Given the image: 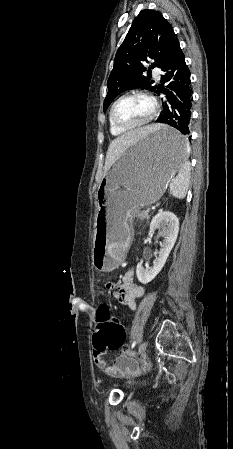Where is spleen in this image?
<instances>
[{"instance_id": "obj_1", "label": "spleen", "mask_w": 233, "mask_h": 449, "mask_svg": "<svg viewBox=\"0 0 233 449\" xmlns=\"http://www.w3.org/2000/svg\"><path fill=\"white\" fill-rule=\"evenodd\" d=\"M190 170V164L185 161L180 166L177 176L170 183V193L177 199H183L187 194L190 183Z\"/></svg>"}]
</instances>
